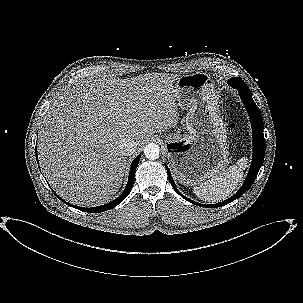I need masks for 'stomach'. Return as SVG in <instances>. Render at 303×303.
Returning a JSON list of instances; mask_svg holds the SVG:
<instances>
[{
	"instance_id": "0dacf381",
	"label": "stomach",
	"mask_w": 303,
	"mask_h": 303,
	"mask_svg": "<svg viewBox=\"0 0 303 303\" xmlns=\"http://www.w3.org/2000/svg\"><path fill=\"white\" fill-rule=\"evenodd\" d=\"M175 91L178 106L187 112L188 134L168 135L165 150L177 180L194 186L227 166V131L219 109V94L208 74L198 72L178 77Z\"/></svg>"
}]
</instances>
